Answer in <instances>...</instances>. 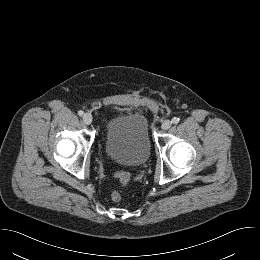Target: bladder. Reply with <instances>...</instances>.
Masks as SVG:
<instances>
[{"mask_svg": "<svg viewBox=\"0 0 260 260\" xmlns=\"http://www.w3.org/2000/svg\"><path fill=\"white\" fill-rule=\"evenodd\" d=\"M106 156L129 167L144 165L151 152L148 123L137 112H119L107 123L104 141Z\"/></svg>", "mask_w": 260, "mask_h": 260, "instance_id": "obj_1", "label": "bladder"}]
</instances>
